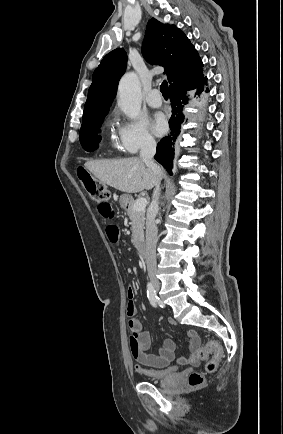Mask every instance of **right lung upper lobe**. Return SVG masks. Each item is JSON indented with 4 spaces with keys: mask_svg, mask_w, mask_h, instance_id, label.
Instances as JSON below:
<instances>
[{
    "mask_svg": "<svg viewBox=\"0 0 283 434\" xmlns=\"http://www.w3.org/2000/svg\"><path fill=\"white\" fill-rule=\"evenodd\" d=\"M144 58L165 68L164 74L174 86H191L202 79L203 63L187 36L174 25L152 18L147 24ZM127 54L117 48L107 54L95 69L83 112L82 126L94 123L108 113L116 95L120 77L126 70Z\"/></svg>",
    "mask_w": 283,
    "mask_h": 434,
    "instance_id": "obj_1",
    "label": "right lung upper lobe"
}]
</instances>
